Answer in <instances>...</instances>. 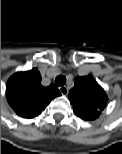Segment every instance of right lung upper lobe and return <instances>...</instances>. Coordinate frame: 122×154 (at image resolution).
Instances as JSON below:
<instances>
[{
	"label": "right lung upper lobe",
	"instance_id": "obj_1",
	"mask_svg": "<svg viewBox=\"0 0 122 154\" xmlns=\"http://www.w3.org/2000/svg\"><path fill=\"white\" fill-rule=\"evenodd\" d=\"M61 93L53 84L41 85V75L37 68L12 75L6 87V97L14 111L24 117L39 115L46 106Z\"/></svg>",
	"mask_w": 122,
	"mask_h": 154
}]
</instances>
